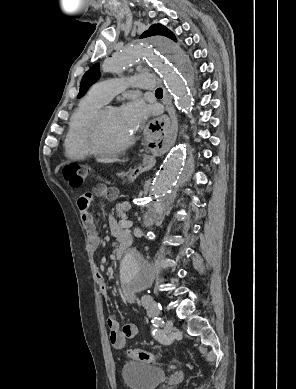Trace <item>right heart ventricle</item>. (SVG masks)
I'll use <instances>...</instances> for the list:
<instances>
[{"label": "right heart ventricle", "instance_id": "right-heart-ventricle-1", "mask_svg": "<svg viewBox=\"0 0 296 389\" xmlns=\"http://www.w3.org/2000/svg\"><path fill=\"white\" fill-rule=\"evenodd\" d=\"M107 101L89 92L73 114L64 140L65 153L70 159L82 160L91 155L87 147V133L97 111Z\"/></svg>", "mask_w": 296, "mask_h": 389}]
</instances>
